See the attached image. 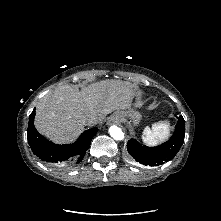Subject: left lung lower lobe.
<instances>
[{"mask_svg": "<svg viewBox=\"0 0 221 221\" xmlns=\"http://www.w3.org/2000/svg\"><path fill=\"white\" fill-rule=\"evenodd\" d=\"M184 136L185 122L182 115H180L175 132L166 143L157 147H146L131 139L128 141L127 150L140 164L158 166L170 161L177 154L184 142Z\"/></svg>", "mask_w": 221, "mask_h": 221, "instance_id": "0a47b994", "label": "left lung lower lobe"}]
</instances>
